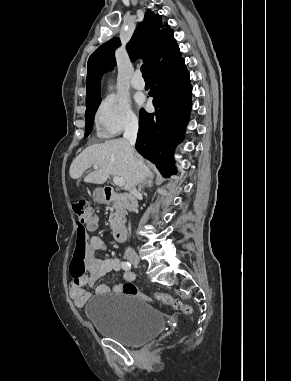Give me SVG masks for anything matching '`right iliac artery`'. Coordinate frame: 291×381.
I'll return each instance as SVG.
<instances>
[{
	"mask_svg": "<svg viewBox=\"0 0 291 381\" xmlns=\"http://www.w3.org/2000/svg\"><path fill=\"white\" fill-rule=\"evenodd\" d=\"M121 267L124 269V270H130L131 269V264L129 263V262H127V261H123L122 263H121Z\"/></svg>",
	"mask_w": 291,
	"mask_h": 381,
	"instance_id": "82829eb1",
	"label": "right iliac artery"
}]
</instances>
